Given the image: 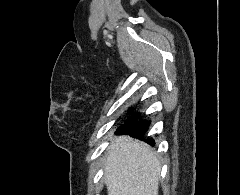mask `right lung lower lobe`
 I'll use <instances>...</instances> for the list:
<instances>
[{"mask_svg":"<svg viewBox=\"0 0 240 195\" xmlns=\"http://www.w3.org/2000/svg\"><path fill=\"white\" fill-rule=\"evenodd\" d=\"M140 116H141V113H135L132 116H130L125 121L126 124H123L118 128L117 133L129 134L134 137L144 139V135L148 130L150 122L144 121L142 119H140V121H138ZM147 142L150 144L154 143L152 138L148 139Z\"/></svg>","mask_w":240,"mask_h":195,"instance_id":"1","label":"right lung lower lobe"}]
</instances>
